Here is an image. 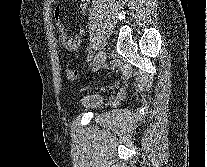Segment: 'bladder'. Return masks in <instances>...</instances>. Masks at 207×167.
Listing matches in <instances>:
<instances>
[{"label":"bladder","mask_w":207,"mask_h":167,"mask_svg":"<svg viewBox=\"0 0 207 167\" xmlns=\"http://www.w3.org/2000/svg\"><path fill=\"white\" fill-rule=\"evenodd\" d=\"M102 103V97L97 94H86L79 98V105L88 111L96 110Z\"/></svg>","instance_id":"31cf9c89"}]
</instances>
